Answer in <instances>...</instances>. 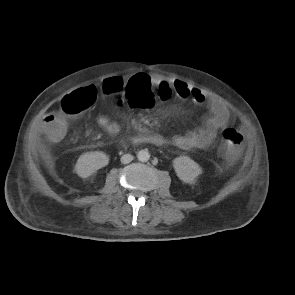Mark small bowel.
<instances>
[{"mask_svg":"<svg viewBox=\"0 0 295 295\" xmlns=\"http://www.w3.org/2000/svg\"><path fill=\"white\" fill-rule=\"evenodd\" d=\"M125 85L127 87H153L158 89V93L163 88H169L171 94L174 93L178 98L191 100L199 105H207L210 111V116L205 126L197 131L174 135L169 138L163 137L160 134L139 135L133 139L135 143H149L155 146L172 145L183 150L206 149L212 145L219 130L229 123L230 114L225 105L218 101L207 99L201 90L186 82L140 72L128 77L125 80ZM125 96V93L121 95L123 100H126ZM55 113H51L44 118L41 127L45 133L53 122ZM98 124L112 135L120 131V125L107 115H100L98 117Z\"/></svg>","mask_w":295,"mask_h":295,"instance_id":"1","label":"small bowel"}]
</instances>
